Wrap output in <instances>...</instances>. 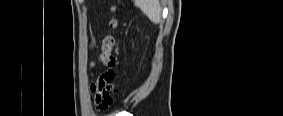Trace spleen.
Wrapping results in <instances>:
<instances>
[{"mask_svg":"<svg viewBox=\"0 0 283 116\" xmlns=\"http://www.w3.org/2000/svg\"><path fill=\"white\" fill-rule=\"evenodd\" d=\"M138 7L154 24L161 21V7L158 0H135Z\"/></svg>","mask_w":283,"mask_h":116,"instance_id":"1","label":"spleen"}]
</instances>
